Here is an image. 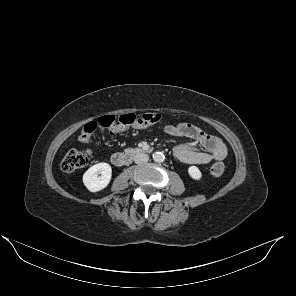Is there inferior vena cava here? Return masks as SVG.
<instances>
[{"label": "inferior vena cava", "mask_w": 296, "mask_h": 296, "mask_svg": "<svg viewBox=\"0 0 296 296\" xmlns=\"http://www.w3.org/2000/svg\"><path fill=\"white\" fill-rule=\"evenodd\" d=\"M149 160V156L145 153H138L134 156V161L137 164L146 163Z\"/></svg>", "instance_id": "602c4592"}]
</instances>
